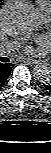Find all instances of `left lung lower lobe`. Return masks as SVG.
Returning a JSON list of instances; mask_svg holds the SVG:
<instances>
[{"label":"left lung lower lobe","mask_w":51,"mask_h":153,"mask_svg":"<svg viewBox=\"0 0 51 153\" xmlns=\"http://www.w3.org/2000/svg\"><path fill=\"white\" fill-rule=\"evenodd\" d=\"M44 86L51 92V84L50 83L49 84H46Z\"/></svg>","instance_id":"1"}]
</instances>
